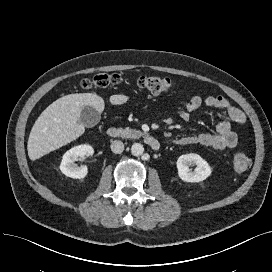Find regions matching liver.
<instances>
[{"mask_svg": "<svg viewBox=\"0 0 272 272\" xmlns=\"http://www.w3.org/2000/svg\"><path fill=\"white\" fill-rule=\"evenodd\" d=\"M126 95H112L110 103H126ZM92 106L99 113L104 110V100L95 93H76L63 96L50 104L33 125L27 144L28 156L36 160L76 140L84 131L80 122L84 106Z\"/></svg>", "mask_w": 272, "mask_h": 272, "instance_id": "1", "label": "liver"}]
</instances>
